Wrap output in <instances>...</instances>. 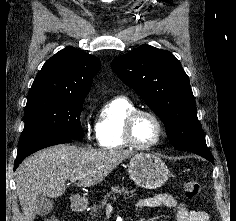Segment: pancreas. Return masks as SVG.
I'll return each mask as SVG.
<instances>
[{
	"mask_svg": "<svg viewBox=\"0 0 236 221\" xmlns=\"http://www.w3.org/2000/svg\"><path fill=\"white\" fill-rule=\"evenodd\" d=\"M132 190H128L125 187L119 188L118 186L112 187L111 191H108L101 201H99L98 204H94L91 211V220L92 221H99L101 219V209L104 208V206L108 203L110 200H114L116 198V194L120 195L122 193L129 194L132 193Z\"/></svg>",
	"mask_w": 236,
	"mask_h": 221,
	"instance_id": "1",
	"label": "pancreas"
}]
</instances>
